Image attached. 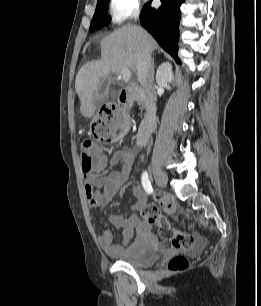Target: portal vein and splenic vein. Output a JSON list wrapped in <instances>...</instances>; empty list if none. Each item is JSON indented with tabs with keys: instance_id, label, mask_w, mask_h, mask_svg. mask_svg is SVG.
Here are the masks:
<instances>
[{
	"instance_id": "portal-vein-and-splenic-vein-1",
	"label": "portal vein and splenic vein",
	"mask_w": 261,
	"mask_h": 306,
	"mask_svg": "<svg viewBox=\"0 0 261 306\" xmlns=\"http://www.w3.org/2000/svg\"><path fill=\"white\" fill-rule=\"evenodd\" d=\"M130 77H131V70L128 68L121 70L118 76V78L122 79L124 82H128L130 80Z\"/></svg>"
}]
</instances>
